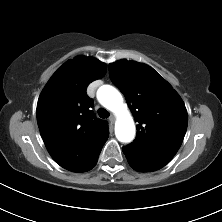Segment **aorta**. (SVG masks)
Returning a JSON list of instances; mask_svg holds the SVG:
<instances>
[{
  "label": "aorta",
  "mask_w": 222,
  "mask_h": 222,
  "mask_svg": "<svg viewBox=\"0 0 222 222\" xmlns=\"http://www.w3.org/2000/svg\"><path fill=\"white\" fill-rule=\"evenodd\" d=\"M98 101L116 116L115 134L120 142H131L135 136L134 120L123 102L120 92L110 85H103L97 91Z\"/></svg>",
  "instance_id": "1"
}]
</instances>
